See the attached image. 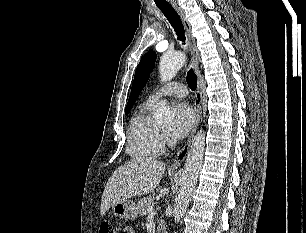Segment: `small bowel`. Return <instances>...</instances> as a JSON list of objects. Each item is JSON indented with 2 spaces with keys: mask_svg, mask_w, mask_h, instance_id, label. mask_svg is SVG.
Wrapping results in <instances>:
<instances>
[{
  "mask_svg": "<svg viewBox=\"0 0 306 233\" xmlns=\"http://www.w3.org/2000/svg\"><path fill=\"white\" fill-rule=\"evenodd\" d=\"M127 230H133V229L132 228H127V229L124 230V232H126ZM133 233H135L134 230H133Z\"/></svg>",
  "mask_w": 306,
  "mask_h": 233,
  "instance_id": "obj_1",
  "label": "small bowel"
}]
</instances>
